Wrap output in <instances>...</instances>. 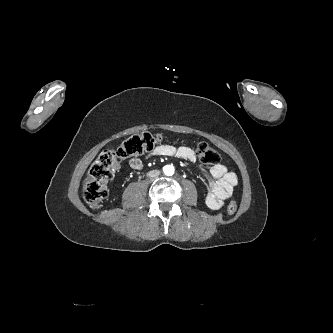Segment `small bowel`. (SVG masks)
<instances>
[{"instance_id":"obj_1","label":"small bowel","mask_w":333,"mask_h":333,"mask_svg":"<svg viewBox=\"0 0 333 333\" xmlns=\"http://www.w3.org/2000/svg\"><path fill=\"white\" fill-rule=\"evenodd\" d=\"M177 157L191 162L196 160L194 151L187 146L159 145L150 156ZM132 169L139 170L143 167V161L139 157H134L129 161ZM208 192L205 203L211 210H218L224 205V201L233 194L235 186L238 184L236 173L229 171L227 167L218 163L209 170Z\"/></svg>"}]
</instances>
